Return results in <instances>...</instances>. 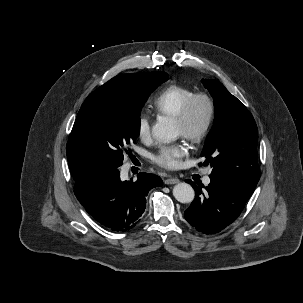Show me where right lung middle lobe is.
<instances>
[{
	"instance_id": "1",
	"label": "right lung middle lobe",
	"mask_w": 303,
	"mask_h": 303,
	"mask_svg": "<svg viewBox=\"0 0 303 303\" xmlns=\"http://www.w3.org/2000/svg\"><path fill=\"white\" fill-rule=\"evenodd\" d=\"M164 72H154L140 89L108 81L84 101L67 143V159L73 178L92 166L118 168L128 146L140 132V111L150 93L166 81Z\"/></svg>"
}]
</instances>
